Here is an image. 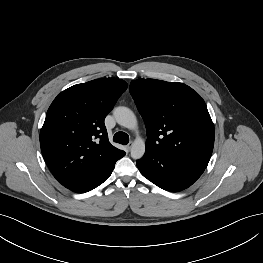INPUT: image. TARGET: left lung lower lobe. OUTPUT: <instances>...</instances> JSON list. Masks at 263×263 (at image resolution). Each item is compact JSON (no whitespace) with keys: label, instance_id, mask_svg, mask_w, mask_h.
<instances>
[{"label":"left lung lower lobe","instance_id":"obj_1","mask_svg":"<svg viewBox=\"0 0 263 263\" xmlns=\"http://www.w3.org/2000/svg\"><path fill=\"white\" fill-rule=\"evenodd\" d=\"M141 174L158 187L171 191H181L191 186L205 168L173 155H158L146 152L137 161Z\"/></svg>","mask_w":263,"mask_h":263}]
</instances>
